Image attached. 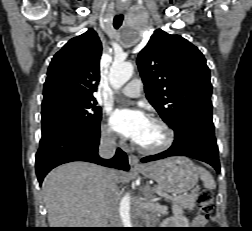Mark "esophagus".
Instances as JSON below:
<instances>
[{"label":"esophagus","instance_id":"esophagus-1","mask_svg":"<svg viewBox=\"0 0 252 231\" xmlns=\"http://www.w3.org/2000/svg\"><path fill=\"white\" fill-rule=\"evenodd\" d=\"M128 160H129V164L133 167H139L140 164H139V159L136 155H133V154H130L128 156Z\"/></svg>","mask_w":252,"mask_h":231}]
</instances>
